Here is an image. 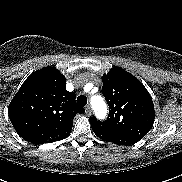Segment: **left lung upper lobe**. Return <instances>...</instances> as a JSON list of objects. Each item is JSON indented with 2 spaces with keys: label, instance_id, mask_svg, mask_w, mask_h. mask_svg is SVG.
<instances>
[{
  "label": "left lung upper lobe",
  "instance_id": "5c2ea615",
  "mask_svg": "<svg viewBox=\"0 0 182 182\" xmlns=\"http://www.w3.org/2000/svg\"><path fill=\"white\" fill-rule=\"evenodd\" d=\"M102 93L109 105V117L101 122L89 118L91 127L142 139L153 126L155 111L144 85L119 67L102 76Z\"/></svg>",
  "mask_w": 182,
  "mask_h": 182
}]
</instances>
